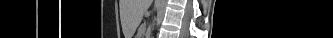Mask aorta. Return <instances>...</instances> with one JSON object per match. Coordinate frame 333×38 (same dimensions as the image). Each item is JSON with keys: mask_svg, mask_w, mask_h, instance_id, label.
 <instances>
[{"mask_svg": "<svg viewBox=\"0 0 333 38\" xmlns=\"http://www.w3.org/2000/svg\"><path fill=\"white\" fill-rule=\"evenodd\" d=\"M155 7L157 11L156 26L158 27L161 24L165 15L167 0H155Z\"/></svg>", "mask_w": 333, "mask_h": 38, "instance_id": "1", "label": "aorta"}]
</instances>
